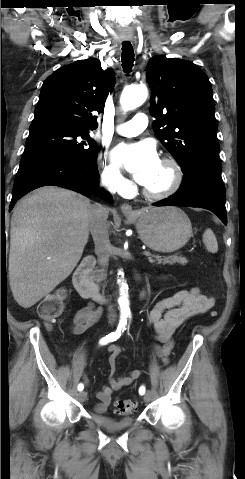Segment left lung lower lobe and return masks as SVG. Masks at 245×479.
Returning a JSON list of instances; mask_svg holds the SVG:
<instances>
[{
  "label": "left lung lower lobe",
  "instance_id": "1",
  "mask_svg": "<svg viewBox=\"0 0 245 479\" xmlns=\"http://www.w3.org/2000/svg\"><path fill=\"white\" fill-rule=\"evenodd\" d=\"M183 174V182L179 190L153 205L208 209L226 225L225 186L221 178L219 158L198 160L185 169Z\"/></svg>",
  "mask_w": 245,
  "mask_h": 479
}]
</instances>
